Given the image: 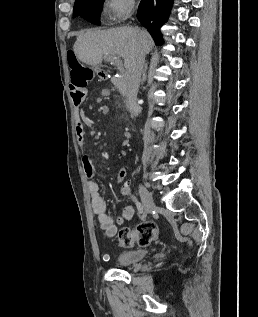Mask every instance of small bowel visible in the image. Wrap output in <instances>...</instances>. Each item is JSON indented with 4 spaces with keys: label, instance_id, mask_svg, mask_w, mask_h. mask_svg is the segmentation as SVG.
Here are the masks:
<instances>
[{
    "label": "small bowel",
    "instance_id": "c3829d8e",
    "mask_svg": "<svg viewBox=\"0 0 258 317\" xmlns=\"http://www.w3.org/2000/svg\"><path fill=\"white\" fill-rule=\"evenodd\" d=\"M87 125V119L84 114L78 113L75 119V132L78 143L81 147L85 145V127ZM82 165L84 173L88 179V189L91 196L92 210L96 216V219L100 227L104 230L106 236L113 237L117 233V225H123L126 221L130 220L134 213L135 208L132 203H127L122 213L116 218L110 215L107 204L101 194L99 183L96 181V171L92 160L88 156H83ZM127 176V171L122 168L117 173V181L122 182ZM121 193L123 195H129L130 185L125 182L121 187Z\"/></svg>",
    "mask_w": 258,
    "mask_h": 317
}]
</instances>
